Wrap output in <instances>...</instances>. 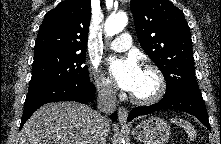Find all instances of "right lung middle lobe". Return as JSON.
<instances>
[{
  "label": "right lung middle lobe",
  "mask_w": 221,
  "mask_h": 144,
  "mask_svg": "<svg viewBox=\"0 0 221 144\" xmlns=\"http://www.w3.org/2000/svg\"><path fill=\"white\" fill-rule=\"evenodd\" d=\"M84 62L85 53H36L27 96L62 82L88 83V67L84 66Z\"/></svg>",
  "instance_id": "right-lung-middle-lobe-1"
}]
</instances>
